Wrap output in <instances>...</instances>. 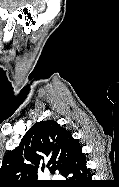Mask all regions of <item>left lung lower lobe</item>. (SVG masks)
I'll use <instances>...</instances> for the list:
<instances>
[{"label":"left lung lower lobe","instance_id":"obj_1","mask_svg":"<svg viewBox=\"0 0 119 187\" xmlns=\"http://www.w3.org/2000/svg\"><path fill=\"white\" fill-rule=\"evenodd\" d=\"M63 176H69L74 182H87L90 178V172L86 167V160L79 144L73 148L68 168Z\"/></svg>","mask_w":119,"mask_h":187}]
</instances>
